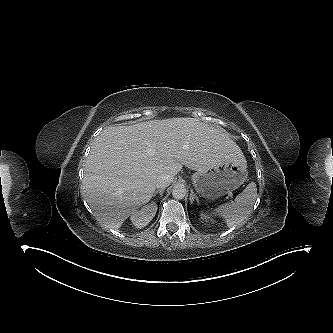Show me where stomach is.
Returning a JSON list of instances; mask_svg holds the SVG:
<instances>
[{
    "label": "stomach",
    "instance_id": "stomach-1",
    "mask_svg": "<svg viewBox=\"0 0 333 333\" xmlns=\"http://www.w3.org/2000/svg\"><path fill=\"white\" fill-rule=\"evenodd\" d=\"M247 175L246 161L240 158L197 171L192 175V183L199 195L216 199L240 187Z\"/></svg>",
    "mask_w": 333,
    "mask_h": 333
}]
</instances>
